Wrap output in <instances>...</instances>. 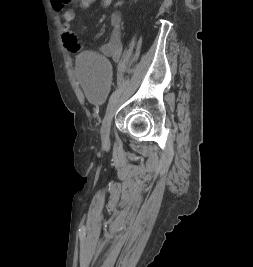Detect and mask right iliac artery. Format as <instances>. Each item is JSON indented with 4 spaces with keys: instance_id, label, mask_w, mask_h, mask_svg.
I'll return each mask as SVG.
<instances>
[{
    "instance_id": "right-iliac-artery-1",
    "label": "right iliac artery",
    "mask_w": 253,
    "mask_h": 267,
    "mask_svg": "<svg viewBox=\"0 0 253 267\" xmlns=\"http://www.w3.org/2000/svg\"><path fill=\"white\" fill-rule=\"evenodd\" d=\"M120 91H121V86L118 87L113 93L112 95L110 96V99H109V103L117 96L120 94Z\"/></svg>"
}]
</instances>
